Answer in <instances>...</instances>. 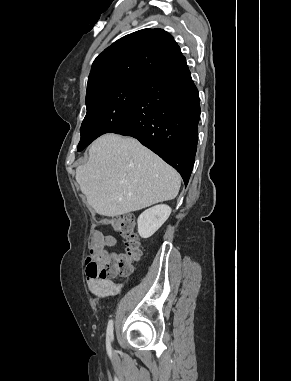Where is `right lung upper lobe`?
<instances>
[{"label": "right lung upper lobe", "instance_id": "right-lung-upper-lobe-1", "mask_svg": "<svg viewBox=\"0 0 291 381\" xmlns=\"http://www.w3.org/2000/svg\"><path fill=\"white\" fill-rule=\"evenodd\" d=\"M181 55L176 41L162 29H143L126 35L93 62L86 97L125 81L144 80Z\"/></svg>", "mask_w": 291, "mask_h": 381}]
</instances>
